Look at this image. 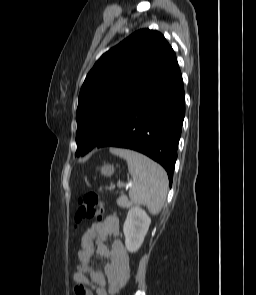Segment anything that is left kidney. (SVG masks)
<instances>
[{
	"mask_svg": "<svg viewBox=\"0 0 256 295\" xmlns=\"http://www.w3.org/2000/svg\"><path fill=\"white\" fill-rule=\"evenodd\" d=\"M150 223V217L142 208L133 207L128 211L123 232L125 246L129 252H136L141 247Z\"/></svg>",
	"mask_w": 256,
	"mask_h": 295,
	"instance_id": "obj_1",
	"label": "left kidney"
}]
</instances>
